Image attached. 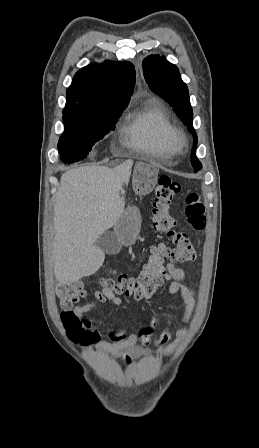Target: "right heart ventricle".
<instances>
[{
  "mask_svg": "<svg viewBox=\"0 0 259 448\" xmlns=\"http://www.w3.org/2000/svg\"><path fill=\"white\" fill-rule=\"evenodd\" d=\"M172 129L174 127L171 120L159 107L150 110L144 106L143 101L130 107L121 119V131L125 134L127 143L145 152L154 148H168V135Z\"/></svg>",
  "mask_w": 259,
  "mask_h": 448,
  "instance_id": "e07e8e85",
  "label": "right heart ventricle"
}]
</instances>
